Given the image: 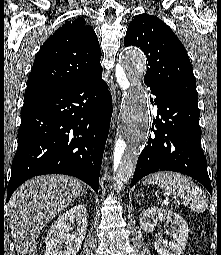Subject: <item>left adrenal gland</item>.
<instances>
[{
  "label": "left adrenal gland",
  "instance_id": "obj_1",
  "mask_svg": "<svg viewBox=\"0 0 221 255\" xmlns=\"http://www.w3.org/2000/svg\"><path fill=\"white\" fill-rule=\"evenodd\" d=\"M139 196L144 197V195L141 192L137 195V197Z\"/></svg>",
  "mask_w": 221,
  "mask_h": 255
}]
</instances>
